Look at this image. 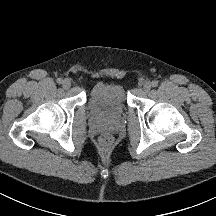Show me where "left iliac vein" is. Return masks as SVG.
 <instances>
[{"mask_svg": "<svg viewBox=\"0 0 216 216\" xmlns=\"http://www.w3.org/2000/svg\"><path fill=\"white\" fill-rule=\"evenodd\" d=\"M152 85L150 82H146L143 86L145 92H148L151 89Z\"/></svg>", "mask_w": 216, "mask_h": 216, "instance_id": "obj_1", "label": "left iliac vein"}]
</instances>
